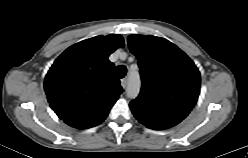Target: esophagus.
I'll return each mask as SVG.
<instances>
[{
	"instance_id": "obj_1",
	"label": "esophagus",
	"mask_w": 248,
	"mask_h": 158,
	"mask_svg": "<svg viewBox=\"0 0 248 158\" xmlns=\"http://www.w3.org/2000/svg\"><path fill=\"white\" fill-rule=\"evenodd\" d=\"M127 84H128L127 78H123V79L121 80V86H122L124 89H126Z\"/></svg>"
}]
</instances>
